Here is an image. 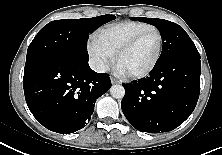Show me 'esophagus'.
<instances>
[{
	"instance_id": "1",
	"label": "esophagus",
	"mask_w": 222,
	"mask_h": 155,
	"mask_svg": "<svg viewBox=\"0 0 222 155\" xmlns=\"http://www.w3.org/2000/svg\"><path fill=\"white\" fill-rule=\"evenodd\" d=\"M111 83L117 84V83H119V81L117 79H115L114 77H111Z\"/></svg>"
}]
</instances>
